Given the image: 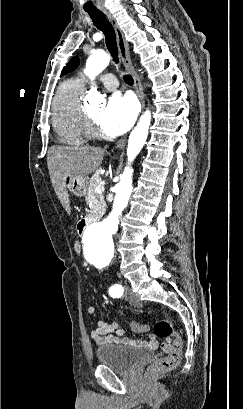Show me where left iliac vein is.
Listing matches in <instances>:
<instances>
[{"label": "left iliac vein", "instance_id": "obj_1", "mask_svg": "<svg viewBox=\"0 0 243 409\" xmlns=\"http://www.w3.org/2000/svg\"><path fill=\"white\" fill-rule=\"evenodd\" d=\"M124 290H125V297L131 305L141 306L140 299L136 295H134L127 286H124Z\"/></svg>", "mask_w": 243, "mask_h": 409}]
</instances>
